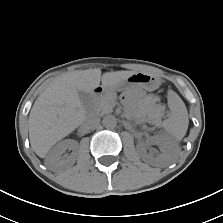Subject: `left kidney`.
I'll return each instance as SVG.
<instances>
[{"label":"left kidney","instance_id":"5707ae66","mask_svg":"<svg viewBox=\"0 0 223 223\" xmlns=\"http://www.w3.org/2000/svg\"><path fill=\"white\" fill-rule=\"evenodd\" d=\"M152 142L159 145L161 152L159 154L147 153L146 145L144 143L139 144L138 150L144 162L156 166H169L177 160L179 147L172 139L165 136H154Z\"/></svg>","mask_w":223,"mask_h":223}]
</instances>
